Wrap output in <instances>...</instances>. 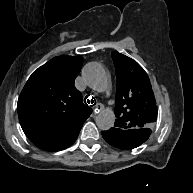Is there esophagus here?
<instances>
[{
  "label": "esophagus",
  "instance_id": "34e87169",
  "mask_svg": "<svg viewBox=\"0 0 193 193\" xmlns=\"http://www.w3.org/2000/svg\"><path fill=\"white\" fill-rule=\"evenodd\" d=\"M104 110V106L102 103H97L96 108L94 109L95 114H99Z\"/></svg>",
  "mask_w": 193,
  "mask_h": 193
}]
</instances>
